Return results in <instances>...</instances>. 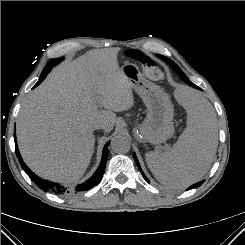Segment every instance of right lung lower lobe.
<instances>
[{"label": "right lung lower lobe", "mask_w": 245, "mask_h": 245, "mask_svg": "<svg viewBox=\"0 0 245 245\" xmlns=\"http://www.w3.org/2000/svg\"><path fill=\"white\" fill-rule=\"evenodd\" d=\"M55 65H52L50 63H47L45 68L43 69L40 78L38 80V82L35 84L34 87L38 86L47 76V74L50 72V70L52 69V67ZM33 87V88H34ZM14 139H15V151H16V155L19 159V162L22 166V168L24 169V171L29 175V177L35 181V183L40 186L41 188H43L45 191H51L57 194H63V193H69V191H67L66 188H64L63 186L57 184V183H53L44 179H41L40 177H38L37 175H35L23 162L22 157L19 153L18 147H17V141H16V135L14 133ZM109 145V142L104 146L103 148V153H102V160L100 163V166L98 167V169L96 170V172L94 173V175L89 178L85 183L80 184L78 186H76L75 191L79 192V191H86L89 190L90 188H92L94 185L99 184V182L101 181L103 174H104V170H105V166H106V161H107V157H108V148L107 146Z\"/></svg>", "instance_id": "right-lung-lower-lobe-1"}]
</instances>
